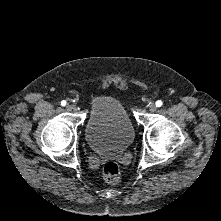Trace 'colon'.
I'll return each mask as SVG.
<instances>
[{"instance_id": "obj_1", "label": "colon", "mask_w": 221, "mask_h": 221, "mask_svg": "<svg viewBox=\"0 0 221 221\" xmlns=\"http://www.w3.org/2000/svg\"><path fill=\"white\" fill-rule=\"evenodd\" d=\"M102 176L109 183H117L120 180V167L115 160H108L102 167Z\"/></svg>"}]
</instances>
